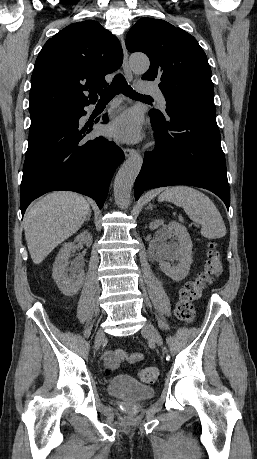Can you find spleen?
Masks as SVG:
<instances>
[{"instance_id":"obj_1","label":"spleen","mask_w":257,"mask_h":459,"mask_svg":"<svg viewBox=\"0 0 257 459\" xmlns=\"http://www.w3.org/2000/svg\"><path fill=\"white\" fill-rule=\"evenodd\" d=\"M160 201L172 202L184 209L189 218L201 225V235L208 239L222 238L226 234L223 218L212 200L204 193L188 186L166 189Z\"/></svg>"}]
</instances>
